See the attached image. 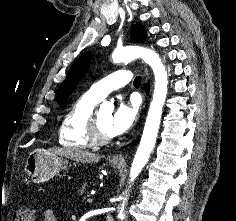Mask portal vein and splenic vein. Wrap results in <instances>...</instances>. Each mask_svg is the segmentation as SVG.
Masks as SVG:
<instances>
[{"instance_id":"18ae733b","label":"portal vein and splenic vein","mask_w":236,"mask_h":221,"mask_svg":"<svg viewBox=\"0 0 236 221\" xmlns=\"http://www.w3.org/2000/svg\"><path fill=\"white\" fill-rule=\"evenodd\" d=\"M92 201H93L92 198H88V199H87V202H88V203H91Z\"/></svg>"}]
</instances>
